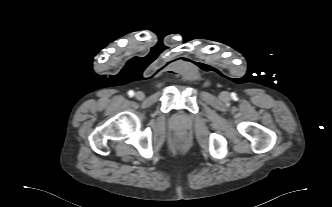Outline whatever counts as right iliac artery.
Returning a JSON list of instances; mask_svg holds the SVG:
<instances>
[{
  "mask_svg": "<svg viewBox=\"0 0 332 207\" xmlns=\"http://www.w3.org/2000/svg\"><path fill=\"white\" fill-rule=\"evenodd\" d=\"M128 95H129V97H133V96H134V91L130 90V91L128 92Z\"/></svg>",
  "mask_w": 332,
  "mask_h": 207,
  "instance_id": "obj_1",
  "label": "right iliac artery"
}]
</instances>
